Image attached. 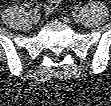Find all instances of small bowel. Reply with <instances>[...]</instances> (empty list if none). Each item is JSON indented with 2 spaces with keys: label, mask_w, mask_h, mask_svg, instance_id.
<instances>
[{
  "label": "small bowel",
  "mask_w": 111,
  "mask_h": 106,
  "mask_svg": "<svg viewBox=\"0 0 111 106\" xmlns=\"http://www.w3.org/2000/svg\"><path fill=\"white\" fill-rule=\"evenodd\" d=\"M61 0H50L45 5V11L47 13L52 12L59 4H61Z\"/></svg>",
  "instance_id": "obj_1"
}]
</instances>
